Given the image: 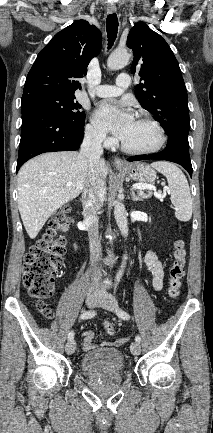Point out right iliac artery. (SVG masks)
Listing matches in <instances>:
<instances>
[{"label":"right iliac artery","mask_w":213,"mask_h":433,"mask_svg":"<svg viewBox=\"0 0 213 433\" xmlns=\"http://www.w3.org/2000/svg\"><path fill=\"white\" fill-rule=\"evenodd\" d=\"M96 315V311L95 310H89V311H85L81 314L80 319H89L92 318ZM74 338V332L71 331L68 334V340H73Z\"/></svg>","instance_id":"obj_1"}]
</instances>
